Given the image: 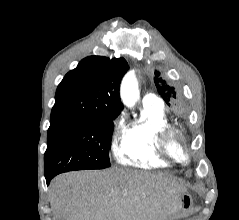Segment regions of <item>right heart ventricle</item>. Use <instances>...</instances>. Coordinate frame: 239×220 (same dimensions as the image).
Segmentation results:
<instances>
[{
	"label": "right heart ventricle",
	"instance_id": "right-heart-ventricle-1",
	"mask_svg": "<svg viewBox=\"0 0 239 220\" xmlns=\"http://www.w3.org/2000/svg\"><path fill=\"white\" fill-rule=\"evenodd\" d=\"M169 126L163 107L143 104L141 115L127 126L115 155L125 166L136 168L167 167L170 162L158 151V133Z\"/></svg>",
	"mask_w": 239,
	"mask_h": 220
}]
</instances>
